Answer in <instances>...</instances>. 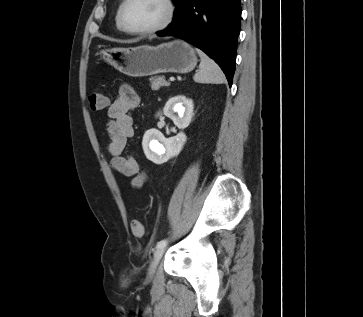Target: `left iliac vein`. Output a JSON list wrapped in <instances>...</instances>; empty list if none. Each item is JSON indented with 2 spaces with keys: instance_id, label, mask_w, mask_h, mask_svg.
I'll use <instances>...</instances> for the list:
<instances>
[{
  "instance_id": "left-iliac-vein-1",
  "label": "left iliac vein",
  "mask_w": 363,
  "mask_h": 317,
  "mask_svg": "<svg viewBox=\"0 0 363 317\" xmlns=\"http://www.w3.org/2000/svg\"><path fill=\"white\" fill-rule=\"evenodd\" d=\"M165 250H166V247H160V248H157V250L154 252L153 260L151 261V264L149 267V272H148L149 276H153V274L155 273V270L163 256V254L165 253Z\"/></svg>"
}]
</instances>
